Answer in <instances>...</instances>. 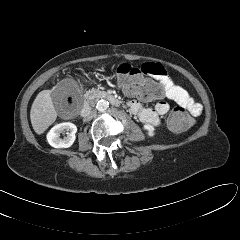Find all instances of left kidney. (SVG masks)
<instances>
[{"label": "left kidney", "instance_id": "1", "mask_svg": "<svg viewBox=\"0 0 240 240\" xmlns=\"http://www.w3.org/2000/svg\"><path fill=\"white\" fill-rule=\"evenodd\" d=\"M143 128H144V130L147 131L148 136H150V137H153V136H154V134H155V133H154L155 128H154L152 125L145 124V125L143 126Z\"/></svg>", "mask_w": 240, "mask_h": 240}]
</instances>
